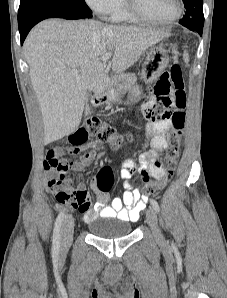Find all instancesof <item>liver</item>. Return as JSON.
<instances>
[{
	"instance_id": "obj_1",
	"label": "liver",
	"mask_w": 227,
	"mask_h": 298,
	"mask_svg": "<svg viewBox=\"0 0 227 298\" xmlns=\"http://www.w3.org/2000/svg\"><path fill=\"white\" fill-rule=\"evenodd\" d=\"M168 32L104 25L94 20L47 19L28 34L24 55L44 126V145L72 134L80 125L87 90L102 94L110 80L100 58L114 52L117 74L133 66ZM72 70H78L74 75Z\"/></svg>"
}]
</instances>
